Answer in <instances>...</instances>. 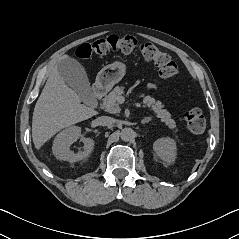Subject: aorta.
<instances>
[{"mask_svg": "<svg viewBox=\"0 0 239 239\" xmlns=\"http://www.w3.org/2000/svg\"><path fill=\"white\" fill-rule=\"evenodd\" d=\"M135 132L131 128H124L121 130V139L123 141H130L134 138Z\"/></svg>", "mask_w": 239, "mask_h": 239, "instance_id": "obj_1", "label": "aorta"}]
</instances>
